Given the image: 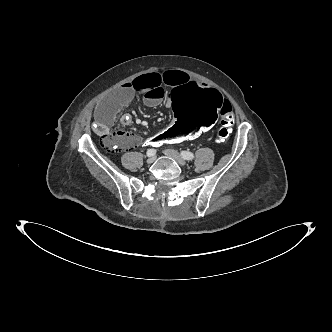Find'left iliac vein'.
<instances>
[{"label":"left iliac vein","mask_w":332,"mask_h":332,"mask_svg":"<svg viewBox=\"0 0 332 332\" xmlns=\"http://www.w3.org/2000/svg\"><path fill=\"white\" fill-rule=\"evenodd\" d=\"M167 157L175 160L180 166H186L187 162L183 157L175 150L172 149H166L163 152Z\"/></svg>","instance_id":"left-iliac-vein-1"}]
</instances>
